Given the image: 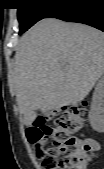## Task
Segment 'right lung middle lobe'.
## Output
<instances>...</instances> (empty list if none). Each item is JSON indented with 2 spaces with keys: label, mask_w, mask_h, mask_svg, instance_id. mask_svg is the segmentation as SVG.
Wrapping results in <instances>:
<instances>
[{
  "label": "right lung middle lobe",
  "mask_w": 104,
  "mask_h": 169,
  "mask_svg": "<svg viewBox=\"0 0 104 169\" xmlns=\"http://www.w3.org/2000/svg\"><path fill=\"white\" fill-rule=\"evenodd\" d=\"M65 0H17L19 34L27 31L33 24L46 18L58 5Z\"/></svg>",
  "instance_id": "obj_1"
}]
</instances>
